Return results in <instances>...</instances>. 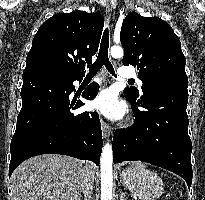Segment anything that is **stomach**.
<instances>
[{
  "label": "stomach",
  "mask_w": 205,
  "mask_h": 200,
  "mask_svg": "<svg viewBox=\"0 0 205 200\" xmlns=\"http://www.w3.org/2000/svg\"><path fill=\"white\" fill-rule=\"evenodd\" d=\"M120 181L131 193L141 200H156L163 194L160 176L142 163H133L120 174Z\"/></svg>",
  "instance_id": "stomach-1"
}]
</instances>
